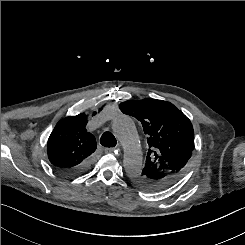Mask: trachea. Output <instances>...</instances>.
<instances>
[{"mask_svg": "<svg viewBox=\"0 0 245 245\" xmlns=\"http://www.w3.org/2000/svg\"><path fill=\"white\" fill-rule=\"evenodd\" d=\"M100 143L105 147H115L117 141L111 132H104L100 138Z\"/></svg>", "mask_w": 245, "mask_h": 245, "instance_id": "3493384b", "label": "trachea"}]
</instances>
